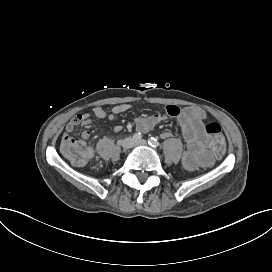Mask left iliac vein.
<instances>
[{"label": "left iliac vein", "mask_w": 272, "mask_h": 272, "mask_svg": "<svg viewBox=\"0 0 272 272\" xmlns=\"http://www.w3.org/2000/svg\"><path fill=\"white\" fill-rule=\"evenodd\" d=\"M148 144V142L146 141V140H140V141H138V142H134L133 143V145L134 146H145V145H147Z\"/></svg>", "instance_id": "1"}]
</instances>
